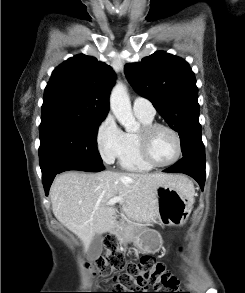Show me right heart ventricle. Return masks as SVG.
<instances>
[{
    "instance_id": "obj_1",
    "label": "right heart ventricle",
    "mask_w": 245,
    "mask_h": 293,
    "mask_svg": "<svg viewBox=\"0 0 245 293\" xmlns=\"http://www.w3.org/2000/svg\"><path fill=\"white\" fill-rule=\"evenodd\" d=\"M136 116L142 126L150 125L154 120V117ZM118 160L120 168L126 171L146 172L153 168L142 159L139 153L137 133H125V147Z\"/></svg>"
}]
</instances>
